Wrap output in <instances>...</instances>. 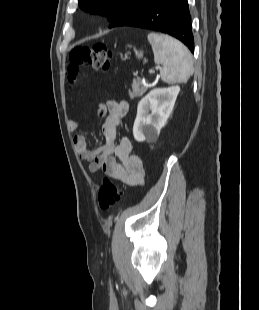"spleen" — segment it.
<instances>
[{"label":"spleen","mask_w":259,"mask_h":310,"mask_svg":"<svg viewBox=\"0 0 259 310\" xmlns=\"http://www.w3.org/2000/svg\"><path fill=\"white\" fill-rule=\"evenodd\" d=\"M154 62L161 64V79L166 83H185L193 74V60L187 47L177 39L151 32L147 36Z\"/></svg>","instance_id":"3e777b00"}]
</instances>
